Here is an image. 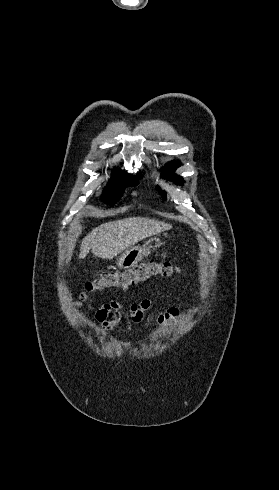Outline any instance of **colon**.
Returning <instances> with one entry per match:
<instances>
[{"mask_svg":"<svg viewBox=\"0 0 279 490\" xmlns=\"http://www.w3.org/2000/svg\"><path fill=\"white\" fill-rule=\"evenodd\" d=\"M179 270L176 264L164 261H146L130 270H109L87 284L86 292L79 297L85 303L90 294L100 293L108 289H127L139 285L156 276H171Z\"/></svg>","mask_w":279,"mask_h":490,"instance_id":"colon-1","label":"colon"}]
</instances>
